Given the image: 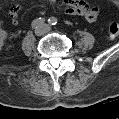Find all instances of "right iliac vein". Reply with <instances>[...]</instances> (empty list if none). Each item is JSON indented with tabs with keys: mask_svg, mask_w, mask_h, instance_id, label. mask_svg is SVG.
Instances as JSON below:
<instances>
[{
	"mask_svg": "<svg viewBox=\"0 0 119 119\" xmlns=\"http://www.w3.org/2000/svg\"><path fill=\"white\" fill-rule=\"evenodd\" d=\"M44 33V27L40 26L37 30H36V34L37 35H42Z\"/></svg>",
	"mask_w": 119,
	"mask_h": 119,
	"instance_id": "obj_1",
	"label": "right iliac vein"
}]
</instances>
